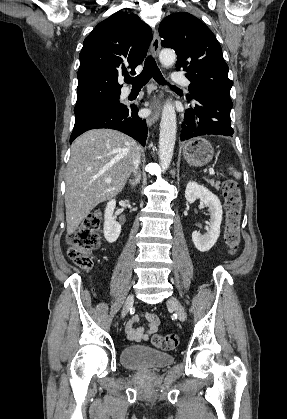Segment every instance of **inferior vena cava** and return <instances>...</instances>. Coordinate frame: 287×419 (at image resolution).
<instances>
[{"instance_id": "inferior-vena-cava-1", "label": "inferior vena cava", "mask_w": 287, "mask_h": 419, "mask_svg": "<svg viewBox=\"0 0 287 419\" xmlns=\"http://www.w3.org/2000/svg\"><path fill=\"white\" fill-rule=\"evenodd\" d=\"M139 164H140V153H137L133 159L132 171L134 172V174H137V169H138Z\"/></svg>"}]
</instances>
